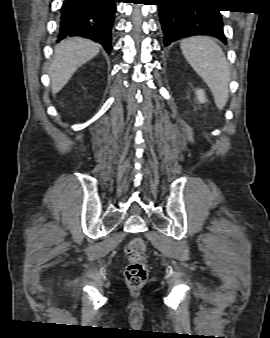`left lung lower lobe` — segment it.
<instances>
[{"mask_svg":"<svg viewBox=\"0 0 270 338\" xmlns=\"http://www.w3.org/2000/svg\"><path fill=\"white\" fill-rule=\"evenodd\" d=\"M157 3L165 46L192 35H210L226 43L220 9L213 0H157Z\"/></svg>","mask_w":270,"mask_h":338,"instance_id":"0a47b994","label":"left lung lower lobe"}]
</instances>
